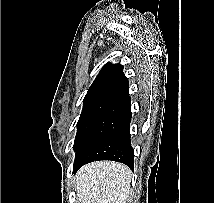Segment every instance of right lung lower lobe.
<instances>
[{
    "label": "right lung lower lobe",
    "instance_id": "obj_1",
    "mask_svg": "<svg viewBox=\"0 0 214 203\" xmlns=\"http://www.w3.org/2000/svg\"><path fill=\"white\" fill-rule=\"evenodd\" d=\"M131 98L129 93L114 100L92 125L77 147L73 172L89 162L112 160L134 168L130 142Z\"/></svg>",
    "mask_w": 214,
    "mask_h": 203
}]
</instances>
